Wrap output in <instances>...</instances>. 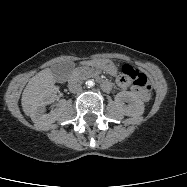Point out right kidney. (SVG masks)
I'll use <instances>...</instances> for the list:
<instances>
[{
  "label": "right kidney",
  "instance_id": "ca27d5eb",
  "mask_svg": "<svg viewBox=\"0 0 187 187\" xmlns=\"http://www.w3.org/2000/svg\"><path fill=\"white\" fill-rule=\"evenodd\" d=\"M58 92L57 87H53L49 90L46 91L43 97L42 104L40 107L37 109L35 116H34V123L40 125L41 127H48L52 123H54L57 118L61 115L63 108H56L53 111H51L50 114H45V109L44 107L46 105H49L54 102L55 96Z\"/></svg>",
  "mask_w": 187,
  "mask_h": 187
}]
</instances>
